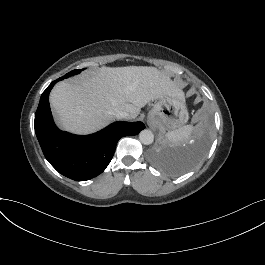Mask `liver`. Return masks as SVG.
Listing matches in <instances>:
<instances>
[{
  "label": "liver",
  "instance_id": "liver-1",
  "mask_svg": "<svg viewBox=\"0 0 265 265\" xmlns=\"http://www.w3.org/2000/svg\"><path fill=\"white\" fill-rule=\"evenodd\" d=\"M163 98L184 102L183 93L155 68L126 67L86 73L81 85L60 82L50 102L63 128L87 133L114 120L115 110L135 119L141 108Z\"/></svg>",
  "mask_w": 265,
  "mask_h": 265
}]
</instances>
